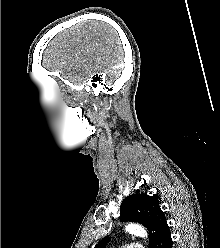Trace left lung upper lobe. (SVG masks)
<instances>
[{
  "label": "left lung upper lobe",
  "mask_w": 220,
  "mask_h": 248,
  "mask_svg": "<svg viewBox=\"0 0 220 248\" xmlns=\"http://www.w3.org/2000/svg\"><path fill=\"white\" fill-rule=\"evenodd\" d=\"M120 221L138 222L149 231V247L152 248L167 226L164 212L159 207L156 196L139 193L126 197L121 206ZM109 236L101 240L95 248H104Z\"/></svg>",
  "instance_id": "left-lung-upper-lobe-1"
}]
</instances>
